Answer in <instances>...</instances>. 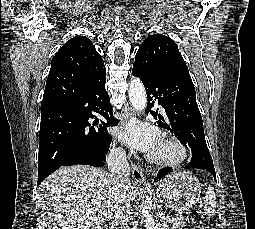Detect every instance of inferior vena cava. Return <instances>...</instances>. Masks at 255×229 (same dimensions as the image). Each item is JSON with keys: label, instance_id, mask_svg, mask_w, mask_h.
<instances>
[{"label": "inferior vena cava", "instance_id": "1", "mask_svg": "<svg viewBox=\"0 0 255 229\" xmlns=\"http://www.w3.org/2000/svg\"><path fill=\"white\" fill-rule=\"evenodd\" d=\"M107 165L116 183L115 221L121 229H129L132 219L131 200L126 192V184L129 181L130 166L127 162L125 150L114 148L107 156Z\"/></svg>", "mask_w": 255, "mask_h": 229}]
</instances>
